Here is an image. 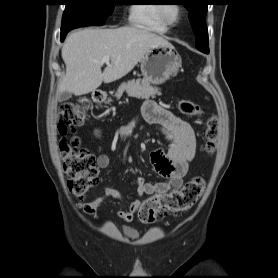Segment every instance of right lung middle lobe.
Masks as SVG:
<instances>
[{
	"label": "right lung middle lobe",
	"instance_id": "right-lung-middle-lobe-1",
	"mask_svg": "<svg viewBox=\"0 0 278 278\" xmlns=\"http://www.w3.org/2000/svg\"><path fill=\"white\" fill-rule=\"evenodd\" d=\"M116 0H64L61 32L81 26L103 25L113 12Z\"/></svg>",
	"mask_w": 278,
	"mask_h": 278
}]
</instances>
